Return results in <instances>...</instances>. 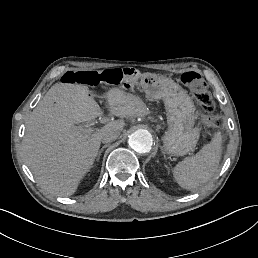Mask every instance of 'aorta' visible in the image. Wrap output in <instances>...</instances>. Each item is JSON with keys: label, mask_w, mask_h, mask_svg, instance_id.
Listing matches in <instances>:
<instances>
[{"label": "aorta", "mask_w": 258, "mask_h": 258, "mask_svg": "<svg viewBox=\"0 0 258 258\" xmlns=\"http://www.w3.org/2000/svg\"><path fill=\"white\" fill-rule=\"evenodd\" d=\"M130 147L138 153H148L152 149L153 138L150 132L139 129L129 136Z\"/></svg>", "instance_id": "1"}]
</instances>
